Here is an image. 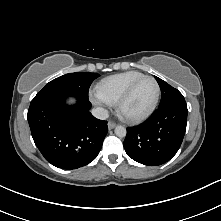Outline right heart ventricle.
<instances>
[{"label": "right heart ventricle", "mask_w": 221, "mask_h": 221, "mask_svg": "<svg viewBox=\"0 0 221 221\" xmlns=\"http://www.w3.org/2000/svg\"><path fill=\"white\" fill-rule=\"evenodd\" d=\"M142 76L138 71H127L106 77L97 85V94L109 104L117 103L129 85Z\"/></svg>", "instance_id": "e07e8e85"}]
</instances>
